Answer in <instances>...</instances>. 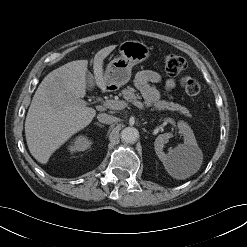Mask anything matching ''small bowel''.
<instances>
[{
    "mask_svg": "<svg viewBox=\"0 0 247 247\" xmlns=\"http://www.w3.org/2000/svg\"><path fill=\"white\" fill-rule=\"evenodd\" d=\"M161 80V75L153 70H142L135 76V85L142 93L144 99L149 103L156 102L159 97V91L151 85L158 83ZM176 85L174 79L170 78L166 81L165 88L167 91L173 89Z\"/></svg>",
    "mask_w": 247,
    "mask_h": 247,
    "instance_id": "1",
    "label": "small bowel"
}]
</instances>
